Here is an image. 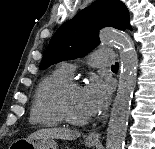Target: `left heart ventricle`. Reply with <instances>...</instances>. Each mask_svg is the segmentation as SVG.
<instances>
[{"label":"left heart ventricle","instance_id":"left-heart-ventricle-1","mask_svg":"<svg viewBox=\"0 0 155 149\" xmlns=\"http://www.w3.org/2000/svg\"><path fill=\"white\" fill-rule=\"evenodd\" d=\"M66 102L74 117L80 119L89 117L84 107L81 88H72L67 94Z\"/></svg>","mask_w":155,"mask_h":149}]
</instances>
